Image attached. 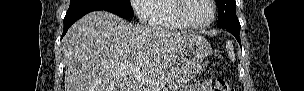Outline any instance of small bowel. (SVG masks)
<instances>
[{
  "mask_svg": "<svg viewBox=\"0 0 304 91\" xmlns=\"http://www.w3.org/2000/svg\"><path fill=\"white\" fill-rule=\"evenodd\" d=\"M186 91H210L211 83L209 81H204L195 85H189L185 89Z\"/></svg>",
  "mask_w": 304,
  "mask_h": 91,
  "instance_id": "c3829d8e",
  "label": "small bowel"
}]
</instances>
